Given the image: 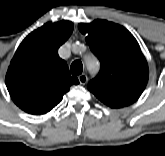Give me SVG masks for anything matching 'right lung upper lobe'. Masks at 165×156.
Here are the masks:
<instances>
[{
	"mask_svg": "<svg viewBox=\"0 0 165 156\" xmlns=\"http://www.w3.org/2000/svg\"><path fill=\"white\" fill-rule=\"evenodd\" d=\"M73 23H46L31 32L18 47L6 74V86L15 104L27 113L49 112L78 84L70 76L58 48L69 38Z\"/></svg>",
	"mask_w": 165,
	"mask_h": 156,
	"instance_id": "right-lung-upper-lobe-1",
	"label": "right lung upper lobe"
}]
</instances>
